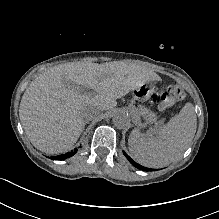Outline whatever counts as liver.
Masks as SVG:
<instances>
[{
	"label": "liver",
	"mask_w": 219,
	"mask_h": 219,
	"mask_svg": "<svg viewBox=\"0 0 219 219\" xmlns=\"http://www.w3.org/2000/svg\"><path fill=\"white\" fill-rule=\"evenodd\" d=\"M133 64L72 62L45 69L25 90L19 117L32 145L47 154L70 150L84 130L86 112L92 119L111 110L119 99L150 79ZM93 89L80 94L75 87ZM91 119V120H92Z\"/></svg>",
	"instance_id": "obj_1"
}]
</instances>
